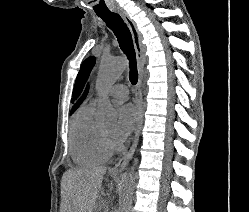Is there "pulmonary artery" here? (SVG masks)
Returning a JSON list of instances; mask_svg holds the SVG:
<instances>
[{"label":"pulmonary artery","mask_w":249,"mask_h":212,"mask_svg":"<svg viewBox=\"0 0 249 212\" xmlns=\"http://www.w3.org/2000/svg\"><path fill=\"white\" fill-rule=\"evenodd\" d=\"M99 55V54H97ZM129 90L124 84H115L109 90V95L113 98L124 99L128 96Z\"/></svg>","instance_id":"obj_1"}]
</instances>
